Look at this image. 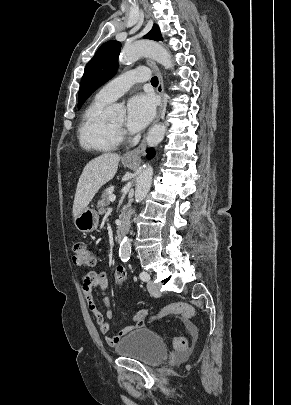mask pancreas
<instances>
[{
    "mask_svg": "<svg viewBox=\"0 0 291 405\" xmlns=\"http://www.w3.org/2000/svg\"><path fill=\"white\" fill-rule=\"evenodd\" d=\"M110 195H111V193H109L108 190H105L103 192V194L97 204L99 214L105 213L106 210L108 209V206L110 205V200H109Z\"/></svg>",
    "mask_w": 291,
    "mask_h": 405,
    "instance_id": "obj_1",
    "label": "pancreas"
}]
</instances>
